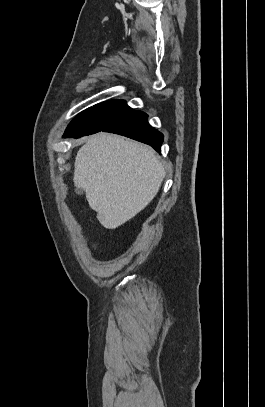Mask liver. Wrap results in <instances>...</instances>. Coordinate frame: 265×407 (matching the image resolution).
Returning <instances> with one entry per match:
<instances>
[{
	"instance_id": "obj_1",
	"label": "liver",
	"mask_w": 265,
	"mask_h": 407,
	"mask_svg": "<svg viewBox=\"0 0 265 407\" xmlns=\"http://www.w3.org/2000/svg\"><path fill=\"white\" fill-rule=\"evenodd\" d=\"M74 166V185L85 191L89 206L107 229H116L141 212L165 177L149 146L106 133L86 141Z\"/></svg>"
}]
</instances>
